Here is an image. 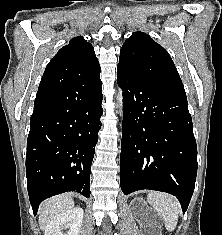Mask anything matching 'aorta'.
<instances>
[{"mask_svg":"<svg viewBox=\"0 0 222 235\" xmlns=\"http://www.w3.org/2000/svg\"><path fill=\"white\" fill-rule=\"evenodd\" d=\"M116 99H117V103H118L119 113H120V115H122V113H123V111H122V109H123V96H122L121 89L118 90Z\"/></svg>","mask_w":222,"mask_h":235,"instance_id":"1","label":"aorta"}]
</instances>
